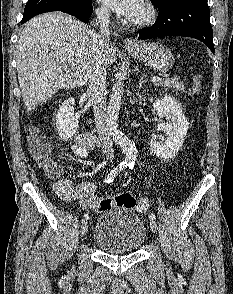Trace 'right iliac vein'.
<instances>
[{"label":"right iliac vein","instance_id":"obj_1","mask_svg":"<svg viewBox=\"0 0 233 294\" xmlns=\"http://www.w3.org/2000/svg\"><path fill=\"white\" fill-rule=\"evenodd\" d=\"M88 231V222L83 221L80 229V236L83 237Z\"/></svg>","mask_w":233,"mask_h":294}]
</instances>
